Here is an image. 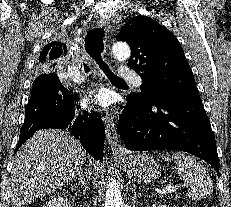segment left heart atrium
<instances>
[{"instance_id":"39dd6f15","label":"left heart atrium","mask_w":231,"mask_h":207,"mask_svg":"<svg viewBox=\"0 0 231 207\" xmlns=\"http://www.w3.org/2000/svg\"><path fill=\"white\" fill-rule=\"evenodd\" d=\"M86 102L95 104L101 108H106L111 104V96L105 90H100L89 95Z\"/></svg>"}]
</instances>
